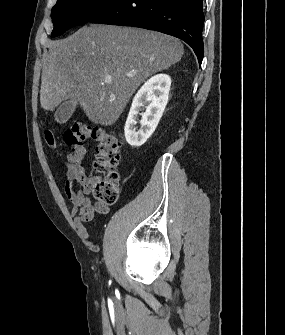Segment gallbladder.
Wrapping results in <instances>:
<instances>
[{
    "label": "gallbladder",
    "instance_id": "obj_1",
    "mask_svg": "<svg viewBox=\"0 0 285 335\" xmlns=\"http://www.w3.org/2000/svg\"><path fill=\"white\" fill-rule=\"evenodd\" d=\"M78 106V102H73V100H69V102H64L60 108H58L57 112L54 114V118L58 124H66L69 118H71L73 112H75Z\"/></svg>",
    "mask_w": 285,
    "mask_h": 335
}]
</instances>
